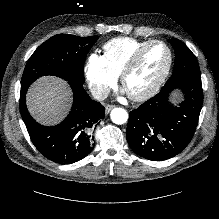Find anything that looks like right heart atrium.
I'll return each mask as SVG.
<instances>
[{
    "instance_id": "1",
    "label": "right heart atrium",
    "mask_w": 219,
    "mask_h": 219,
    "mask_svg": "<svg viewBox=\"0 0 219 219\" xmlns=\"http://www.w3.org/2000/svg\"><path fill=\"white\" fill-rule=\"evenodd\" d=\"M84 74L89 88L97 96L106 94L116 80V75L108 67L103 55L96 52L88 56Z\"/></svg>"
}]
</instances>
